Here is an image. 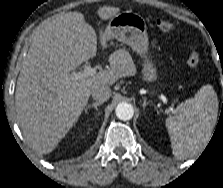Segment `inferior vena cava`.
I'll return each instance as SVG.
<instances>
[{
	"label": "inferior vena cava",
	"mask_w": 223,
	"mask_h": 188,
	"mask_svg": "<svg viewBox=\"0 0 223 188\" xmlns=\"http://www.w3.org/2000/svg\"><path fill=\"white\" fill-rule=\"evenodd\" d=\"M91 94H92L93 99H95L97 102L103 103L110 98L111 89L110 87L106 85H102V86L95 87L92 90Z\"/></svg>",
	"instance_id": "602c4592"
}]
</instances>
